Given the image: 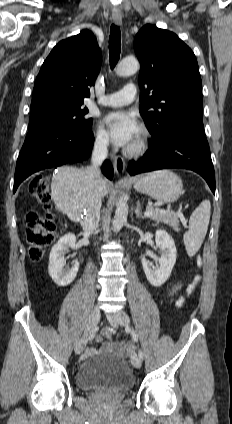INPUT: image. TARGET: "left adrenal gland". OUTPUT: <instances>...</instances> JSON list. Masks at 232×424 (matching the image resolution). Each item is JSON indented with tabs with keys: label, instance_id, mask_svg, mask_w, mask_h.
<instances>
[{
	"label": "left adrenal gland",
	"instance_id": "obj_1",
	"mask_svg": "<svg viewBox=\"0 0 232 424\" xmlns=\"http://www.w3.org/2000/svg\"><path fill=\"white\" fill-rule=\"evenodd\" d=\"M135 215H136L137 218L145 219V216L143 215V213L141 212V209H140V201L139 200H138L137 206L135 208Z\"/></svg>",
	"mask_w": 232,
	"mask_h": 424
}]
</instances>
